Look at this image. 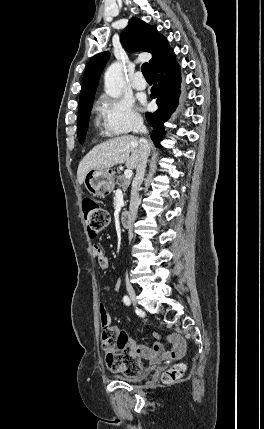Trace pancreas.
<instances>
[{"label": "pancreas", "instance_id": "pancreas-1", "mask_svg": "<svg viewBox=\"0 0 264 429\" xmlns=\"http://www.w3.org/2000/svg\"><path fill=\"white\" fill-rule=\"evenodd\" d=\"M131 180L126 179L123 175L116 177V185H118L124 192L127 191V188L130 185Z\"/></svg>", "mask_w": 264, "mask_h": 429}]
</instances>
